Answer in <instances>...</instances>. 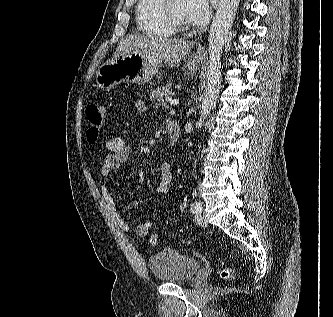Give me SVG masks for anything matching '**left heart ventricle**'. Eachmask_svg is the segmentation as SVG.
<instances>
[{
    "label": "left heart ventricle",
    "instance_id": "1",
    "mask_svg": "<svg viewBox=\"0 0 333 317\" xmlns=\"http://www.w3.org/2000/svg\"><path fill=\"white\" fill-rule=\"evenodd\" d=\"M173 13L176 20L185 26H191V22L187 14V1L175 0L173 3Z\"/></svg>",
    "mask_w": 333,
    "mask_h": 317
}]
</instances>
